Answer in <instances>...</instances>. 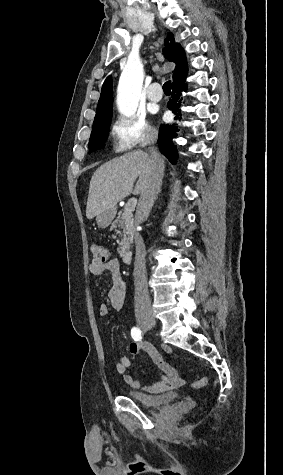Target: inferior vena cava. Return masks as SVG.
<instances>
[{"label": "inferior vena cava", "instance_id": "obj_1", "mask_svg": "<svg viewBox=\"0 0 283 475\" xmlns=\"http://www.w3.org/2000/svg\"><path fill=\"white\" fill-rule=\"evenodd\" d=\"M149 154L151 158V170H149L148 184H146V188H144V192L140 196L136 210L139 224H142L145 218H147L154 204V200H156L157 194H159L161 190L164 174V162L156 148H150ZM135 243L136 255L133 271L135 285L134 309L135 313H147V311H151V303L149 299L145 261L146 251L143 239L139 234L136 236Z\"/></svg>", "mask_w": 283, "mask_h": 475}]
</instances>
